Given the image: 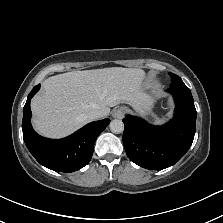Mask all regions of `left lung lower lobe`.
I'll return each mask as SVG.
<instances>
[{
  "mask_svg": "<svg viewBox=\"0 0 223 223\" xmlns=\"http://www.w3.org/2000/svg\"><path fill=\"white\" fill-rule=\"evenodd\" d=\"M175 100L174 118L162 126H153L141 118L123 119V143L135 164L150 170H162L178 162L192 145L196 130V109L189 88L170 87Z\"/></svg>",
  "mask_w": 223,
  "mask_h": 223,
  "instance_id": "0a47b994",
  "label": "left lung lower lobe"
}]
</instances>
